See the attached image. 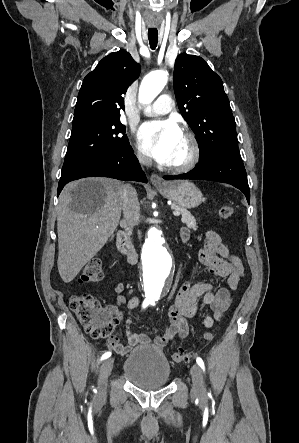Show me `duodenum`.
Instances as JSON below:
<instances>
[{"label":"duodenum","mask_w":299,"mask_h":443,"mask_svg":"<svg viewBox=\"0 0 299 443\" xmlns=\"http://www.w3.org/2000/svg\"><path fill=\"white\" fill-rule=\"evenodd\" d=\"M116 244L118 249L127 256L130 264L136 263L137 254L134 247L129 242L127 235L124 231H118L116 235Z\"/></svg>","instance_id":"duodenum-1"}]
</instances>
